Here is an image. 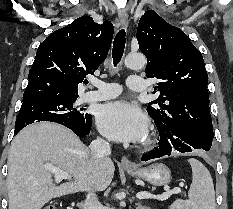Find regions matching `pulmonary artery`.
I'll use <instances>...</instances> for the list:
<instances>
[{"label": "pulmonary artery", "instance_id": "pulmonary-artery-1", "mask_svg": "<svg viewBox=\"0 0 233 209\" xmlns=\"http://www.w3.org/2000/svg\"><path fill=\"white\" fill-rule=\"evenodd\" d=\"M91 84L96 88V90L84 93L83 100L86 102L111 99L118 96L121 93V88L116 83H107L95 79L92 80ZM127 85L130 90L135 92L143 91L146 86L144 78L138 75L130 76L127 79Z\"/></svg>", "mask_w": 233, "mask_h": 209}]
</instances>
